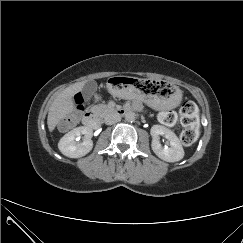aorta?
Instances as JSON below:
<instances>
[{"label":"aorta","mask_w":243,"mask_h":243,"mask_svg":"<svg viewBox=\"0 0 243 243\" xmlns=\"http://www.w3.org/2000/svg\"><path fill=\"white\" fill-rule=\"evenodd\" d=\"M135 119H136V115H135L134 112L129 111V112H127V113L125 114V120H126L127 122H134Z\"/></svg>","instance_id":"762f6f07"}]
</instances>
